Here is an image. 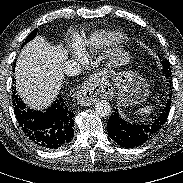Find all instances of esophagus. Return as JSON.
I'll return each instance as SVG.
<instances>
[{"instance_id": "34e87169", "label": "esophagus", "mask_w": 183, "mask_h": 183, "mask_svg": "<svg viewBox=\"0 0 183 183\" xmlns=\"http://www.w3.org/2000/svg\"><path fill=\"white\" fill-rule=\"evenodd\" d=\"M112 96L111 85L95 75L84 82L78 92L77 100L81 105L90 106L99 99H110Z\"/></svg>"}]
</instances>
